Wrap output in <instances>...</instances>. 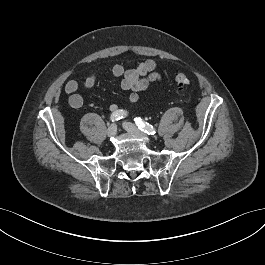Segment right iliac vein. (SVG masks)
Returning a JSON list of instances; mask_svg holds the SVG:
<instances>
[{"label":"right iliac vein","instance_id":"1","mask_svg":"<svg viewBox=\"0 0 265 265\" xmlns=\"http://www.w3.org/2000/svg\"><path fill=\"white\" fill-rule=\"evenodd\" d=\"M117 132V126L116 124H111L108 129H107V136L108 137H113L116 135Z\"/></svg>","mask_w":265,"mask_h":265}]
</instances>
